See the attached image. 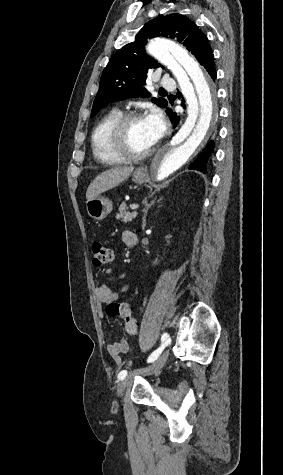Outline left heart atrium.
Returning a JSON list of instances; mask_svg holds the SVG:
<instances>
[{
  "label": "left heart atrium",
  "instance_id": "1",
  "mask_svg": "<svg viewBox=\"0 0 283 475\" xmlns=\"http://www.w3.org/2000/svg\"><path fill=\"white\" fill-rule=\"evenodd\" d=\"M146 120L152 131L150 135L152 139L157 142L160 138H162L166 129L165 117L159 109L153 108Z\"/></svg>",
  "mask_w": 283,
  "mask_h": 475
}]
</instances>
